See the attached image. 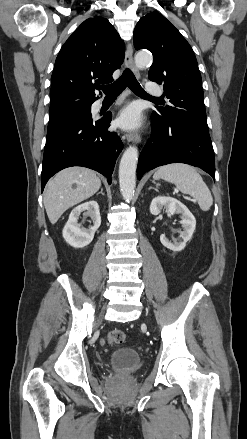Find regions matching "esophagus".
Listing matches in <instances>:
<instances>
[{
  "instance_id": "obj_1",
  "label": "esophagus",
  "mask_w": 247,
  "mask_h": 439,
  "mask_svg": "<svg viewBox=\"0 0 247 439\" xmlns=\"http://www.w3.org/2000/svg\"><path fill=\"white\" fill-rule=\"evenodd\" d=\"M125 65L133 71L136 77L140 76L139 70L136 67L133 60V47L131 43H128L126 53H125ZM127 141L140 142L141 137L138 133H128L126 134Z\"/></svg>"
}]
</instances>
